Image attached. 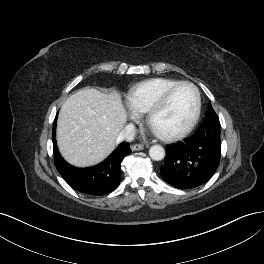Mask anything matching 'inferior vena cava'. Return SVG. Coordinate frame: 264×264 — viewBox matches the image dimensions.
<instances>
[{
    "mask_svg": "<svg viewBox=\"0 0 264 264\" xmlns=\"http://www.w3.org/2000/svg\"><path fill=\"white\" fill-rule=\"evenodd\" d=\"M135 137V127L133 124H128L125 126L119 135L116 138V143H120L122 141L131 142Z\"/></svg>",
    "mask_w": 264,
    "mask_h": 264,
    "instance_id": "602c4592",
    "label": "inferior vena cava"
}]
</instances>
